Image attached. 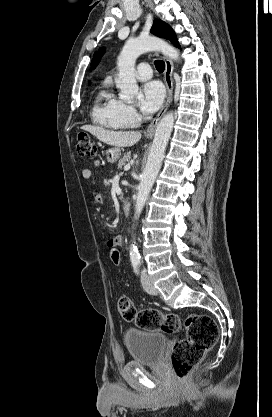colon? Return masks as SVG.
Listing matches in <instances>:
<instances>
[{
    "mask_svg": "<svg viewBox=\"0 0 272 417\" xmlns=\"http://www.w3.org/2000/svg\"><path fill=\"white\" fill-rule=\"evenodd\" d=\"M77 152L81 157L94 158L98 150L87 135H79ZM108 249L111 262L119 266L121 263L120 244L111 243ZM117 307L125 320L134 322L139 328L165 333L185 330L186 337L175 342L170 353L171 364L179 380L188 377L201 362L206 351L218 340V326L210 316L205 314H191L183 319L178 314H163L155 309L137 311L132 300L126 296L118 300Z\"/></svg>",
    "mask_w": 272,
    "mask_h": 417,
    "instance_id": "obj_1",
    "label": "colon"
}]
</instances>
